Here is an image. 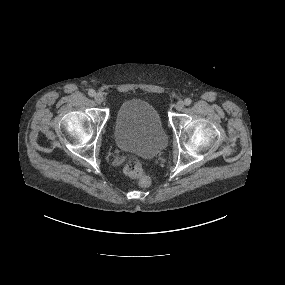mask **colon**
I'll return each instance as SVG.
<instances>
[{
    "label": "colon",
    "mask_w": 285,
    "mask_h": 285,
    "mask_svg": "<svg viewBox=\"0 0 285 285\" xmlns=\"http://www.w3.org/2000/svg\"><path fill=\"white\" fill-rule=\"evenodd\" d=\"M123 170L126 175L135 179L140 186L148 187L151 184V177L144 171L140 159L136 156L126 158Z\"/></svg>",
    "instance_id": "1"
}]
</instances>
